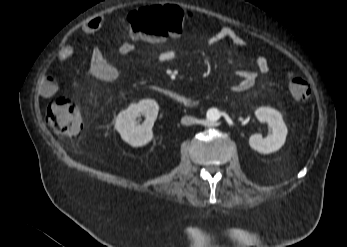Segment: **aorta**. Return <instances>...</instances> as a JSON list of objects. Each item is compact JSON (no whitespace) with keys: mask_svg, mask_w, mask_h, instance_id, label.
<instances>
[{"mask_svg":"<svg viewBox=\"0 0 347 247\" xmlns=\"http://www.w3.org/2000/svg\"><path fill=\"white\" fill-rule=\"evenodd\" d=\"M207 120L210 122V123H214L216 122L217 120H219L220 118V112L219 110L215 109V108H212V109H209L207 111Z\"/></svg>","mask_w":347,"mask_h":247,"instance_id":"obj_1","label":"aorta"}]
</instances>
